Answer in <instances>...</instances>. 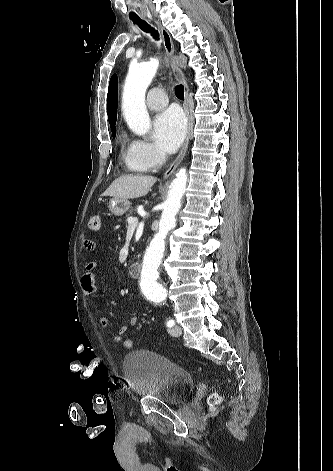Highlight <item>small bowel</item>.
<instances>
[{"label": "small bowel", "mask_w": 333, "mask_h": 471, "mask_svg": "<svg viewBox=\"0 0 333 471\" xmlns=\"http://www.w3.org/2000/svg\"><path fill=\"white\" fill-rule=\"evenodd\" d=\"M98 267H99L98 261L96 260L88 261L86 264V271L81 277L82 289L84 293L90 297L96 294L95 271L97 270ZM138 322H139V318L136 316H133L130 319L131 326H136ZM99 324L104 329L109 327V320L106 315L100 314ZM127 331H128V326H120L117 332L113 336V341L115 343H122L124 340L123 336L126 334Z\"/></svg>", "instance_id": "obj_1"}]
</instances>
